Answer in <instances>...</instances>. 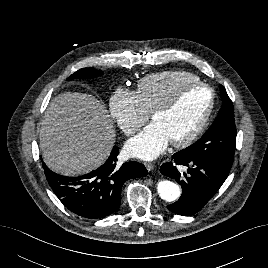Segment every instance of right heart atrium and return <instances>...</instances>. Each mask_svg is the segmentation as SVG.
<instances>
[{
  "label": "right heart atrium",
  "mask_w": 268,
  "mask_h": 268,
  "mask_svg": "<svg viewBox=\"0 0 268 268\" xmlns=\"http://www.w3.org/2000/svg\"><path fill=\"white\" fill-rule=\"evenodd\" d=\"M109 110L119 128L131 135L144 125L149 118V112L137 91L117 88L109 101Z\"/></svg>",
  "instance_id": "obj_1"
}]
</instances>
